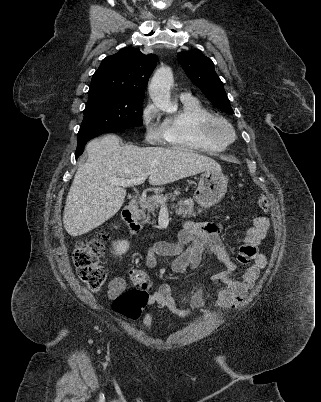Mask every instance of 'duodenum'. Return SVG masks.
<instances>
[{
	"instance_id": "410a0bca",
	"label": "duodenum",
	"mask_w": 321,
	"mask_h": 402,
	"mask_svg": "<svg viewBox=\"0 0 321 402\" xmlns=\"http://www.w3.org/2000/svg\"><path fill=\"white\" fill-rule=\"evenodd\" d=\"M139 210L138 200H131L125 210L122 212V219L127 229L135 236H139L142 231V225L137 219Z\"/></svg>"
}]
</instances>
